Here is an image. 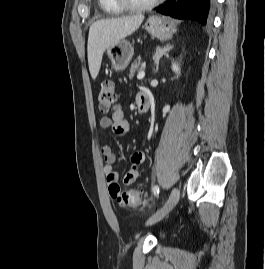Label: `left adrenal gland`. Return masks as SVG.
<instances>
[{"label": "left adrenal gland", "instance_id": "a2214340", "mask_svg": "<svg viewBox=\"0 0 265 269\" xmlns=\"http://www.w3.org/2000/svg\"><path fill=\"white\" fill-rule=\"evenodd\" d=\"M173 48V45L166 44L163 47H158L153 55V60L155 64L154 73L158 71L159 61L165 55L167 56L170 50Z\"/></svg>", "mask_w": 265, "mask_h": 269}]
</instances>
